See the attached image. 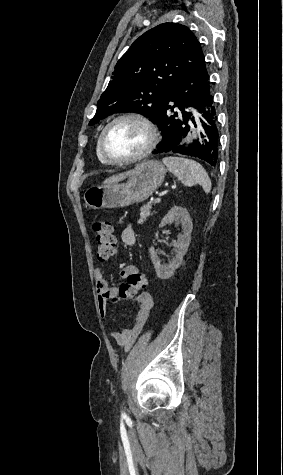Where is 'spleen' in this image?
<instances>
[{
	"instance_id": "spleen-1",
	"label": "spleen",
	"mask_w": 283,
	"mask_h": 475,
	"mask_svg": "<svg viewBox=\"0 0 283 475\" xmlns=\"http://www.w3.org/2000/svg\"><path fill=\"white\" fill-rule=\"evenodd\" d=\"M169 172L176 176L178 180H181L184 186H202L204 192L209 194L211 190V180L205 172L204 168L194 162V160H186V158H164L162 160Z\"/></svg>"
}]
</instances>
